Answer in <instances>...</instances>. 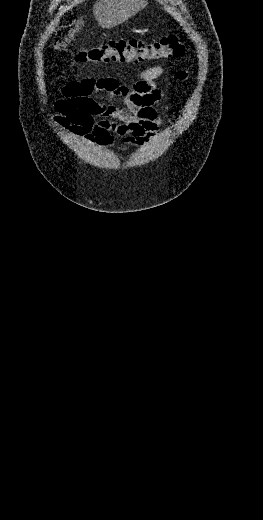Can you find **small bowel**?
<instances>
[{
  "label": "small bowel",
  "instance_id": "obj_1",
  "mask_svg": "<svg viewBox=\"0 0 263 520\" xmlns=\"http://www.w3.org/2000/svg\"><path fill=\"white\" fill-rule=\"evenodd\" d=\"M157 65L143 70L131 86L114 78H86L62 88V97L55 102L53 121L63 130L101 146H111L113 134L122 137V146H142L158 132L163 117L155 108L165 99V92L156 80L164 73ZM184 71L177 73L184 80ZM106 93L121 98L119 107L104 102L95 95Z\"/></svg>",
  "mask_w": 263,
  "mask_h": 520
}]
</instances>
